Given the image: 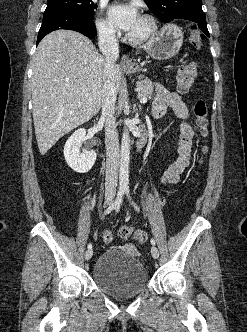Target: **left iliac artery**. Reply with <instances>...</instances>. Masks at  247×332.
Here are the masks:
<instances>
[{
  "mask_svg": "<svg viewBox=\"0 0 247 332\" xmlns=\"http://www.w3.org/2000/svg\"><path fill=\"white\" fill-rule=\"evenodd\" d=\"M125 193H126L128 199L130 200L131 204L134 206V208H135L137 211H139L138 206H137V205L131 200L129 190H126ZM150 241H151V244H152V245H155V244H156V242H155V240H154L153 238H151Z\"/></svg>",
  "mask_w": 247,
  "mask_h": 332,
  "instance_id": "left-iliac-artery-1",
  "label": "left iliac artery"
}]
</instances>
